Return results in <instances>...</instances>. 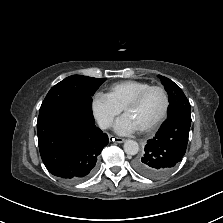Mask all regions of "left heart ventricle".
I'll use <instances>...</instances> for the list:
<instances>
[{
  "mask_svg": "<svg viewBox=\"0 0 223 223\" xmlns=\"http://www.w3.org/2000/svg\"><path fill=\"white\" fill-rule=\"evenodd\" d=\"M165 105L164 95L160 90L150 91L134 108L129 109L127 115L138 129L149 126L161 115Z\"/></svg>",
  "mask_w": 223,
  "mask_h": 223,
  "instance_id": "obj_1",
  "label": "left heart ventricle"
}]
</instances>
